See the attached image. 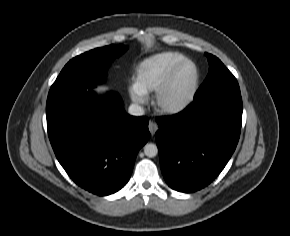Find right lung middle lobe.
Returning <instances> with one entry per match:
<instances>
[{"instance_id":"right-lung-middle-lobe-1","label":"right lung middle lobe","mask_w":290,"mask_h":236,"mask_svg":"<svg viewBox=\"0 0 290 236\" xmlns=\"http://www.w3.org/2000/svg\"><path fill=\"white\" fill-rule=\"evenodd\" d=\"M124 45H110L81 54L70 60L50 91L65 88H91L104 80L111 61L126 51Z\"/></svg>"}]
</instances>
